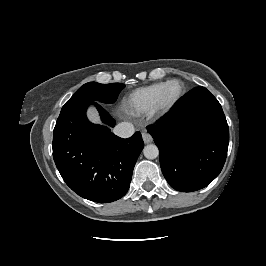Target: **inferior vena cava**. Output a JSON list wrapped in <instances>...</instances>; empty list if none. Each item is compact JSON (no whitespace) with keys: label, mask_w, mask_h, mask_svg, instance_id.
<instances>
[{"label":"inferior vena cava","mask_w":266,"mask_h":266,"mask_svg":"<svg viewBox=\"0 0 266 266\" xmlns=\"http://www.w3.org/2000/svg\"><path fill=\"white\" fill-rule=\"evenodd\" d=\"M135 132L133 124L129 122H121L115 126L113 133L121 138L131 137Z\"/></svg>","instance_id":"inferior-vena-cava-1"}]
</instances>
